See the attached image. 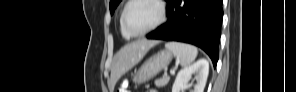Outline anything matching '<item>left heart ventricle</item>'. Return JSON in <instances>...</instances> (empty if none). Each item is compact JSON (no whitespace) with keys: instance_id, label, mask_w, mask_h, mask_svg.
I'll use <instances>...</instances> for the list:
<instances>
[{"instance_id":"1","label":"left heart ventricle","mask_w":296,"mask_h":92,"mask_svg":"<svg viewBox=\"0 0 296 92\" xmlns=\"http://www.w3.org/2000/svg\"><path fill=\"white\" fill-rule=\"evenodd\" d=\"M159 18L158 6L148 0L136 1L126 13V22L130 30L140 32L151 27Z\"/></svg>"}]
</instances>
